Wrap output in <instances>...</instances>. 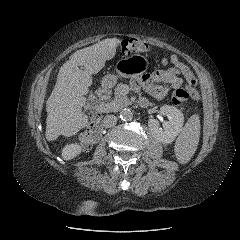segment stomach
<instances>
[{"label":"stomach","instance_id":"obj_1","mask_svg":"<svg viewBox=\"0 0 240 240\" xmlns=\"http://www.w3.org/2000/svg\"><path fill=\"white\" fill-rule=\"evenodd\" d=\"M148 60L139 54H133L128 57L122 58L116 64L117 75H106L102 84L105 87H112L118 77L130 78L142 74L148 68Z\"/></svg>","mask_w":240,"mask_h":240}]
</instances>
